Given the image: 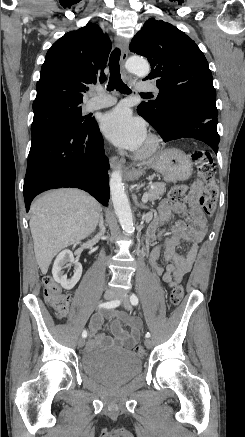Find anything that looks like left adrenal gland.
<instances>
[{"mask_svg": "<svg viewBox=\"0 0 245 437\" xmlns=\"http://www.w3.org/2000/svg\"><path fill=\"white\" fill-rule=\"evenodd\" d=\"M133 201L137 207H140L142 209H147V206L138 203L137 196L135 194H133Z\"/></svg>", "mask_w": 245, "mask_h": 437, "instance_id": "left-adrenal-gland-1", "label": "left adrenal gland"}]
</instances>
